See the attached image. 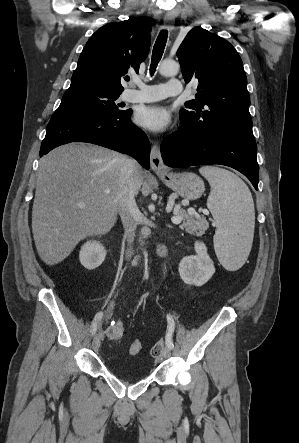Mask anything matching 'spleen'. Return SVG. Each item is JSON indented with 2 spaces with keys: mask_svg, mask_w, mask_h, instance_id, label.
<instances>
[{
  "mask_svg": "<svg viewBox=\"0 0 299 443\" xmlns=\"http://www.w3.org/2000/svg\"><path fill=\"white\" fill-rule=\"evenodd\" d=\"M199 172L211 186L207 207L218 224L214 235L216 255L225 269L236 271L245 263L252 246V195L246 184L228 170L204 166Z\"/></svg>",
  "mask_w": 299,
  "mask_h": 443,
  "instance_id": "spleen-1",
  "label": "spleen"
}]
</instances>
